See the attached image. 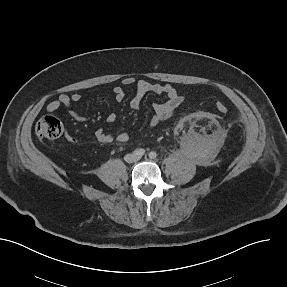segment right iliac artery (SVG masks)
I'll use <instances>...</instances> for the list:
<instances>
[{"mask_svg": "<svg viewBox=\"0 0 287 287\" xmlns=\"http://www.w3.org/2000/svg\"><path fill=\"white\" fill-rule=\"evenodd\" d=\"M133 154L136 155V156L142 157L145 154V150L144 149H136L133 152Z\"/></svg>", "mask_w": 287, "mask_h": 287, "instance_id": "82829eb1", "label": "right iliac artery"}]
</instances>
